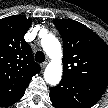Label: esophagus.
<instances>
[{
    "instance_id": "1",
    "label": "esophagus",
    "mask_w": 108,
    "mask_h": 108,
    "mask_svg": "<svg viewBox=\"0 0 108 108\" xmlns=\"http://www.w3.org/2000/svg\"><path fill=\"white\" fill-rule=\"evenodd\" d=\"M47 64H48V62H47V61H45V62L41 63V68H42V69H45V68H46V66H47Z\"/></svg>"
}]
</instances>
